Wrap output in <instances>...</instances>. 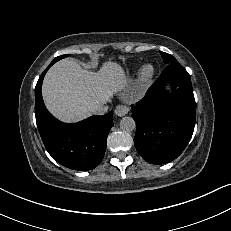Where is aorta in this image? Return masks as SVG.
I'll use <instances>...</instances> for the list:
<instances>
[{
    "mask_svg": "<svg viewBox=\"0 0 231 231\" xmlns=\"http://www.w3.org/2000/svg\"><path fill=\"white\" fill-rule=\"evenodd\" d=\"M120 128L126 132L133 131L136 128L134 119L132 117H123L120 121Z\"/></svg>",
    "mask_w": 231,
    "mask_h": 231,
    "instance_id": "aorta-1",
    "label": "aorta"
}]
</instances>
